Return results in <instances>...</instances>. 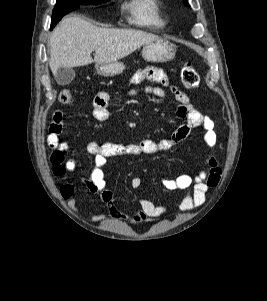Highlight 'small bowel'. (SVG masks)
I'll use <instances>...</instances> for the list:
<instances>
[{
	"label": "small bowel",
	"instance_id": "obj_1",
	"mask_svg": "<svg viewBox=\"0 0 267 301\" xmlns=\"http://www.w3.org/2000/svg\"><path fill=\"white\" fill-rule=\"evenodd\" d=\"M145 80L156 82L164 87L170 86L168 76L159 69L149 68L139 70L131 77L133 85H140ZM161 86H145L141 89H134L129 92V95H136L139 91H142L153 97L164 98L166 93ZM170 89L178 103L177 116L185 120V123L180 125L171 137L158 142L151 139H142L137 143L130 144L111 142L99 144L92 142L87 145V151L94 156V165L90 174L81 178V182L89 192L99 197L104 208L114 218L127 216L135 222H151L158 220L167 212L168 208L164 204H156L149 199L142 198L140 200V209L128 214L120 211L115 205L113 192L106 187L103 167L108 158L125 155L153 154L170 150L178 142L186 139L192 129L199 127L205 131L204 142L206 145L211 150H214L216 147L217 134L214 130L213 120L193 108L189 97L183 91L173 86H170ZM109 101L110 95L106 91H100L95 95L92 102V114L96 120L106 121L109 119ZM63 125V114L61 111H56L49 128L47 144L52 150L50 160L53 166V174L61 180L59 187L60 195L67 201L68 207L72 211L77 212V200L73 196L74 185L66 177L67 172H73L77 169V163L75 159H67L65 157L68 146L66 143L60 141ZM207 166L206 169L201 170L194 177L181 174L173 179L162 180V185L168 190L188 191L187 196L179 205L180 212H188L200 207L205 201L207 191L218 185L222 176V169L217 159L214 156H210ZM141 184L142 180L140 177H134L131 181V186L134 189H138Z\"/></svg>",
	"mask_w": 267,
	"mask_h": 301
}]
</instances>
